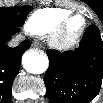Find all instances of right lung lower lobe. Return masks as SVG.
I'll use <instances>...</instances> for the list:
<instances>
[{"label": "right lung lower lobe", "instance_id": "1", "mask_svg": "<svg viewBox=\"0 0 103 103\" xmlns=\"http://www.w3.org/2000/svg\"><path fill=\"white\" fill-rule=\"evenodd\" d=\"M19 31V27L0 25V99L1 102H9L11 99V87L14 78L19 72L21 57L29 49L30 40L23 41L19 46L11 48L6 42Z\"/></svg>", "mask_w": 103, "mask_h": 103}]
</instances>
